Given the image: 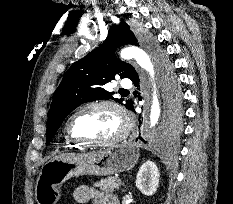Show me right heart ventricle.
Masks as SVG:
<instances>
[{
	"label": "right heart ventricle",
	"mask_w": 233,
	"mask_h": 204,
	"mask_svg": "<svg viewBox=\"0 0 233 204\" xmlns=\"http://www.w3.org/2000/svg\"><path fill=\"white\" fill-rule=\"evenodd\" d=\"M64 138H65V142L66 144L69 146V147H81L82 144L78 143V142H75L73 140H71L67 134L64 135Z\"/></svg>",
	"instance_id": "1"
}]
</instances>
